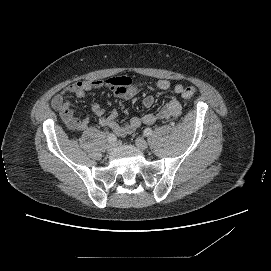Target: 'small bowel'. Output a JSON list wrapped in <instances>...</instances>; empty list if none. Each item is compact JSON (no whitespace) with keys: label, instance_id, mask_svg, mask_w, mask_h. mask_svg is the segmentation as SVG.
<instances>
[{"label":"small bowel","instance_id":"c3829d8e","mask_svg":"<svg viewBox=\"0 0 271 271\" xmlns=\"http://www.w3.org/2000/svg\"><path fill=\"white\" fill-rule=\"evenodd\" d=\"M103 86L110 87L114 95L122 99L131 98L137 89V85L126 76L111 78L109 80L77 81L66 86L60 93L55 95L51 100V106L59 112L61 120L68 129L76 133L83 132L89 125V119L87 117L82 119L77 118L74 115L70 101L66 97L74 95L77 98H83L88 91ZM156 88L163 91L168 90L171 88V83L169 80L160 79L156 83ZM183 90L184 87L181 84H175L172 87V91L177 95L182 94ZM153 104V96L148 95L143 99V105L146 108H151ZM91 111L99 117V122L102 126L112 129L119 136H125L131 134L141 125H152L163 119L180 116L183 112V106L177 98L173 97L157 113H147L143 116L133 117L124 125L116 122V110L106 113L105 109L99 104L94 103L91 105Z\"/></svg>","mask_w":271,"mask_h":271}]
</instances>
